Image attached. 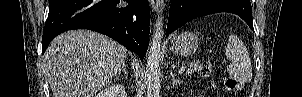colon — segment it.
I'll return each mask as SVG.
<instances>
[{
    "label": "colon",
    "instance_id": "5ec220e1",
    "mask_svg": "<svg viewBox=\"0 0 302 97\" xmlns=\"http://www.w3.org/2000/svg\"><path fill=\"white\" fill-rule=\"evenodd\" d=\"M198 72L203 77H209L213 73L212 65L208 62H204L199 66ZM226 87L230 91H235L241 88V83L233 78H228L226 80Z\"/></svg>",
    "mask_w": 302,
    "mask_h": 97
}]
</instances>
